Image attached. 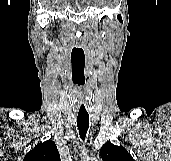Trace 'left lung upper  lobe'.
Returning a JSON list of instances; mask_svg holds the SVG:
<instances>
[{"mask_svg": "<svg viewBox=\"0 0 171 161\" xmlns=\"http://www.w3.org/2000/svg\"><path fill=\"white\" fill-rule=\"evenodd\" d=\"M100 155L103 161H134L124 147L115 146L110 142L101 147Z\"/></svg>", "mask_w": 171, "mask_h": 161, "instance_id": "5c2ea615", "label": "left lung upper lobe"}]
</instances>
